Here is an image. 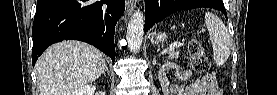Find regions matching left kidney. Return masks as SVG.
Segmentation results:
<instances>
[{"label":"left kidney","mask_w":277,"mask_h":95,"mask_svg":"<svg viewBox=\"0 0 277 95\" xmlns=\"http://www.w3.org/2000/svg\"><path fill=\"white\" fill-rule=\"evenodd\" d=\"M165 70H166L165 66H163L159 70V72H158V78H159V82H160V85L163 88V90H166V89L168 90L169 80L166 77Z\"/></svg>","instance_id":"1"}]
</instances>
